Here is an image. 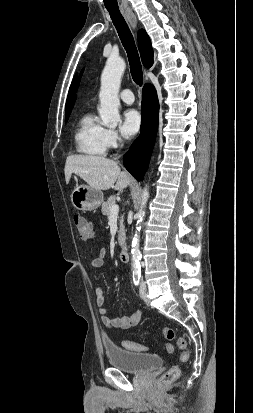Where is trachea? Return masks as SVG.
Returning <instances> with one entry per match:
<instances>
[{"instance_id": "obj_1", "label": "trachea", "mask_w": 253, "mask_h": 413, "mask_svg": "<svg viewBox=\"0 0 253 413\" xmlns=\"http://www.w3.org/2000/svg\"><path fill=\"white\" fill-rule=\"evenodd\" d=\"M108 11L127 52L132 79L137 85L141 86L143 84V72L133 35L119 10Z\"/></svg>"}]
</instances>
